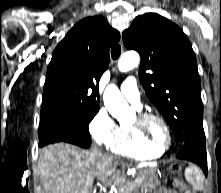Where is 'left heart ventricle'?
<instances>
[{"instance_id": "left-heart-ventricle-1", "label": "left heart ventricle", "mask_w": 221, "mask_h": 193, "mask_svg": "<svg viewBox=\"0 0 221 193\" xmlns=\"http://www.w3.org/2000/svg\"><path fill=\"white\" fill-rule=\"evenodd\" d=\"M149 130L153 138L162 145L167 144V135L163 126L156 120H152L149 124Z\"/></svg>"}]
</instances>
